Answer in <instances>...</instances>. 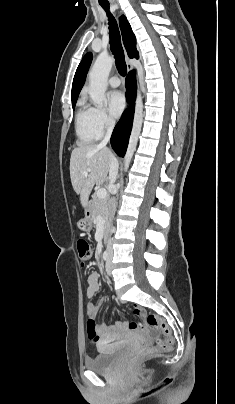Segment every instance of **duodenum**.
<instances>
[{"mask_svg": "<svg viewBox=\"0 0 235 404\" xmlns=\"http://www.w3.org/2000/svg\"><path fill=\"white\" fill-rule=\"evenodd\" d=\"M91 213V211H89ZM107 240V235L105 234L103 237V242H105Z\"/></svg>", "mask_w": 235, "mask_h": 404, "instance_id": "1", "label": "duodenum"}]
</instances>
